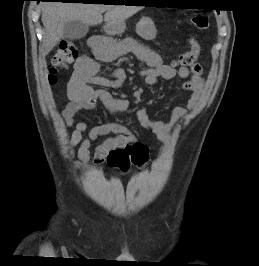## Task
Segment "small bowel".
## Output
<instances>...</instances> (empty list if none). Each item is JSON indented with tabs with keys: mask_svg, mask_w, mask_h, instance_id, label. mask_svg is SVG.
<instances>
[{
	"mask_svg": "<svg viewBox=\"0 0 259 266\" xmlns=\"http://www.w3.org/2000/svg\"><path fill=\"white\" fill-rule=\"evenodd\" d=\"M90 46L91 54L82 55L74 65V72L67 87L70 101L62 112L66 124L74 127L71 146L79 145L77 151L79 162L76 163V166L78 168L87 166L91 160V144L101 136L111 135L95 149L92 161L100 168L108 162V156L113 150L138 142L134 131L115 122L107 120L90 129L85 122L74 123V116L77 113L93 109L98 103H101L109 113L123 112L128 108L127 100L114 97L104 89H95L91 86V84H97L119 87L125 79L124 71L122 69L115 70L112 79L99 77L97 75L99 61L114 59L126 53L135 54L146 65L140 75L148 85H154L159 78L171 80L176 75L186 79L182 89L190 93V98L186 106L173 108L168 121L151 119L144 109L139 111L143 127L152 131L164 146L168 145L175 124L184 118L189 110L196 108L198 105L205 85L202 77V67L196 63L190 68L180 67L176 70L165 64L160 54L132 39L114 41L108 37L96 36L91 39ZM85 132H87V136L84 138L83 134ZM161 150L163 151L164 147ZM70 152L73 154V150Z\"/></svg>",
	"mask_w": 259,
	"mask_h": 266,
	"instance_id": "obj_1",
	"label": "small bowel"
}]
</instances>
